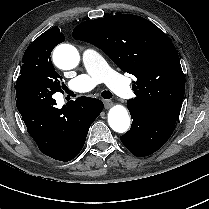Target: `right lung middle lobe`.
Here are the masks:
<instances>
[{
  "instance_id": "dd1d6c3e",
  "label": "right lung middle lobe",
  "mask_w": 209,
  "mask_h": 209,
  "mask_svg": "<svg viewBox=\"0 0 209 209\" xmlns=\"http://www.w3.org/2000/svg\"><path fill=\"white\" fill-rule=\"evenodd\" d=\"M56 42L51 37H38L26 49L20 76L17 80H26L52 92H62L65 87L61 77L52 65L50 55Z\"/></svg>"
}]
</instances>
